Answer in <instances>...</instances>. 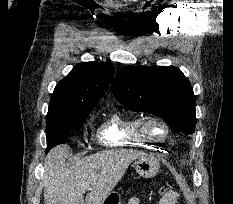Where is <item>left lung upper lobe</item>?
Returning <instances> with one entry per match:
<instances>
[{"label":"left lung upper lobe","instance_id":"obj_1","mask_svg":"<svg viewBox=\"0 0 233 204\" xmlns=\"http://www.w3.org/2000/svg\"><path fill=\"white\" fill-rule=\"evenodd\" d=\"M111 90L126 109L158 116L175 133H194L195 96L179 69L132 66L116 75Z\"/></svg>","mask_w":233,"mask_h":204}]
</instances>
